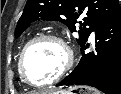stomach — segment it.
Wrapping results in <instances>:
<instances>
[{
	"label": "stomach",
	"mask_w": 121,
	"mask_h": 94,
	"mask_svg": "<svg viewBox=\"0 0 121 94\" xmlns=\"http://www.w3.org/2000/svg\"><path fill=\"white\" fill-rule=\"evenodd\" d=\"M51 94H100L97 90L95 89H89V91H85L83 87H71L68 90H62L58 92H54Z\"/></svg>",
	"instance_id": "1"
}]
</instances>
